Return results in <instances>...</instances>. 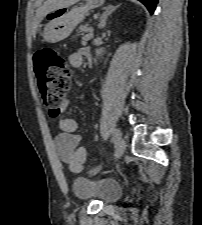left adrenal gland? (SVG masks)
<instances>
[{
    "label": "left adrenal gland",
    "instance_id": "a2214340",
    "mask_svg": "<svg viewBox=\"0 0 202 225\" xmlns=\"http://www.w3.org/2000/svg\"><path fill=\"white\" fill-rule=\"evenodd\" d=\"M118 6H109L107 9L102 13L100 17V23H99V28L103 29L106 26V22L108 17L117 9Z\"/></svg>",
    "mask_w": 202,
    "mask_h": 225
}]
</instances>
